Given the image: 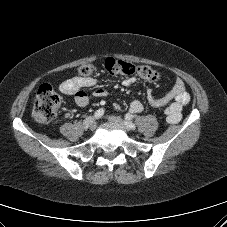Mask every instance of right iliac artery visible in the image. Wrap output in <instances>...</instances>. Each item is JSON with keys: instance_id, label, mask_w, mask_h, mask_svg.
Returning <instances> with one entry per match:
<instances>
[{"instance_id": "obj_1", "label": "right iliac artery", "mask_w": 227, "mask_h": 227, "mask_svg": "<svg viewBox=\"0 0 227 227\" xmlns=\"http://www.w3.org/2000/svg\"><path fill=\"white\" fill-rule=\"evenodd\" d=\"M103 114H104V109H103V108H100V109H98V110L95 112L94 118H95V119H98V118L102 117Z\"/></svg>"}]
</instances>
